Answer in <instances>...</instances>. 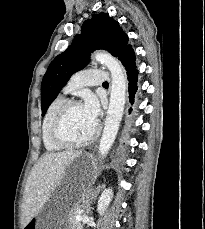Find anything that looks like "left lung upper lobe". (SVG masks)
I'll use <instances>...</instances> for the list:
<instances>
[{"label":"left lung upper lobe","instance_id":"5c2ea615","mask_svg":"<svg viewBox=\"0 0 205 229\" xmlns=\"http://www.w3.org/2000/svg\"><path fill=\"white\" fill-rule=\"evenodd\" d=\"M127 46L128 36L108 13L95 14L91 19L85 20L81 34L76 35L69 48L50 63L43 77L42 116L70 76L88 64L91 52L103 49L118 57Z\"/></svg>","mask_w":205,"mask_h":229}]
</instances>
